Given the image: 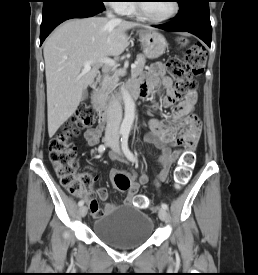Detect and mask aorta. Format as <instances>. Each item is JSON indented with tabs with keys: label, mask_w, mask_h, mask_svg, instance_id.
Instances as JSON below:
<instances>
[{
	"label": "aorta",
	"mask_w": 258,
	"mask_h": 275,
	"mask_svg": "<svg viewBox=\"0 0 258 275\" xmlns=\"http://www.w3.org/2000/svg\"><path fill=\"white\" fill-rule=\"evenodd\" d=\"M122 96L125 106V114L121 124V132L129 133L135 118V103L128 91L125 89H122Z\"/></svg>",
	"instance_id": "762f6f07"
}]
</instances>
